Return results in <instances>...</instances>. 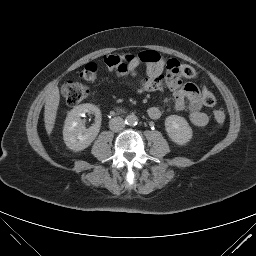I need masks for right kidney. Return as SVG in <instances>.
Here are the masks:
<instances>
[{"mask_svg":"<svg viewBox=\"0 0 256 256\" xmlns=\"http://www.w3.org/2000/svg\"><path fill=\"white\" fill-rule=\"evenodd\" d=\"M96 116V123L86 129L82 124L81 117L86 113ZM100 109L93 104H81L75 106L67 115L63 129V139L66 146L75 151H81L91 145L100 130Z\"/></svg>","mask_w":256,"mask_h":256,"instance_id":"ca27d5eb","label":"right kidney"}]
</instances>
